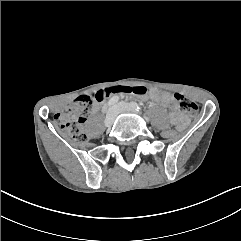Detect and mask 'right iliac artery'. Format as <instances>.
<instances>
[{"label": "right iliac artery", "mask_w": 241, "mask_h": 241, "mask_svg": "<svg viewBox=\"0 0 241 241\" xmlns=\"http://www.w3.org/2000/svg\"><path fill=\"white\" fill-rule=\"evenodd\" d=\"M118 100H119V97H118V96L112 97V98L109 100V102H108V104H107V107L115 104L116 102H118Z\"/></svg>", "instance_id": "obj_1"}]
</instances>
